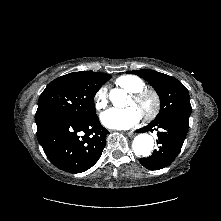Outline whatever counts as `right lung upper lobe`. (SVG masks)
I'll return each mask as SVG.
<instances>
[{"mask_svg": "<svg viewBox=\"0 0 221 221\" xmlns=\"http://www.w3.org/2000/svg\"><path fill=\"white\" fill-rule=\"evenodd\" d=\"M73 74L78 75L84 79H90V80H101V79H107L109 77L111 78L109 74L92 72V71L73 72Z\"/></svg>", "mask_w": 221, "mask_h": 221, "instance_id": "right-lung-upper-lobe-1", "label": "right lung upper lobe"}]
</instances>
